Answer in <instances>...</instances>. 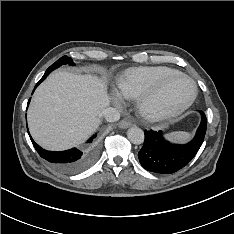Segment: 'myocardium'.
Listing matches in <instances>:
<instances>
[{
    "instance_id": "f54148a6",
    "label": "myocardium",
    "mask_w": 234,
    "mask_h": 234,
    "mask_svg": "<svg viewBox=\"0 0 234 234\" xmlns=\"http://www.w3.org/2000/svg\"><path fill=\"white\" fill-rule=\"evenodd\" d=\"M175 78L187 79L193 88L192 94L188 100L177 106H159L155 103L156 97L165 89V87ZM198 94L197 85L192 78L182 72H176L158 82L154 87L144 93L138 99V109L140 114L152 121L177 116L187 110L195 101Z\"/></svg>"
}]
</instances>
